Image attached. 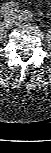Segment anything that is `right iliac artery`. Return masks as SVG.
<instances>
[{
  "label": "right iliac artery",
  "mask_w": 51,
  "mask_h": 153,
  "mask_svg": "<svg viewBox=\"0 0 51 153\" xmlns=\"http://www.w3.org/2000/svg\"><path fill=\"white\" fill-rule=\"evenodd\" d=\"M18 8L19 7L17 3L7 2L1 7L0 11L2 15L6 16V15H10L13 11H17Z\"/></svg>",
  "instance_id": "right-iliac-artery-1"
}]
</instances>
